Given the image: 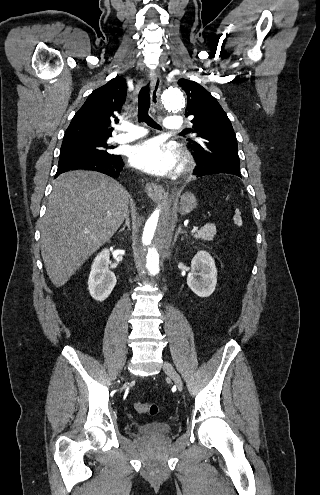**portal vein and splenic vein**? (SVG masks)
<instances>
[{
    "label": "portal vein and splenic vein",
    "instance_id": "1",
    "mask_svg": "<svg viewBox=\"0 0 320 495\" xmlns=\"http://www.w3.org/2000/svg\"><path fill=\"white\" fill-rule=\"evenodd\" d=\"M196 231H198V227H197V226H195V227L192 229L191 233H195Z\"/></svg>",
    "mask_w": 320,
    "mask_h": 495
}]
</instances>
